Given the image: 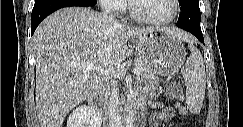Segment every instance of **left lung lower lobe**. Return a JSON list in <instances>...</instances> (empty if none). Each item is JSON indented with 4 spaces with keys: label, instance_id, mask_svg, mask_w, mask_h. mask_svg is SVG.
Listing matches in <instances>:
<instances>
[{
    "label": "left lung lower lobe",
    "instance_id": "obj_1",
    "mask_svg": "<svg viewBox=\"0 0 243 127\" xmlns=\"http://www.w3.org/2000/svg\"><path fill=\"white\" fill-rule=\"evenodd\" d=\"M181 13L176 25L192 33L201 43L204 38L200 27L201 14L198 2H189L181 6Z\"/></svg>",
    "mask_w": 243,
    "mask_h": 127
}]
</instances>
